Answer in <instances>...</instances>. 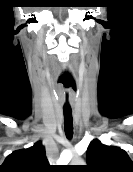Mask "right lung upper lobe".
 Returning <instances> with one entry per match:
<instances>
[{
	"mask_svg": "<svg viewBox=\"0 0 133 172\" xmlns=\"http://www.w3.org/2000/svg\"><path fill=\"white\" fill-rule=\"evenodd\" d=\"M45 148L41 142L32 147L12 152L2 165L0 172H50Z\"/></svg>",
	"mask_w": 133,
	"mask_h": 172,
	"instance_id": "1",
	"label": "right lung upper lobe"
}]
</instances>
